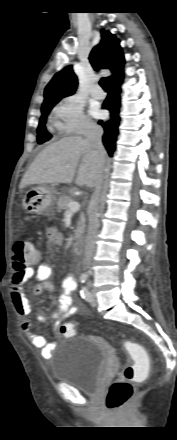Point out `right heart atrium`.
I'll list each match as a JSON object with an SVG mask.
<instances>
[{
    "instance_id": "1",
    "label": "right heart atrium",
    "mask_w": 177,
    "mask_h": 440,
    "mask_svg": "<svg viewBox=\"0 0 177 440\" xmlns=\"http://www.w3.org/2000/svg\"><path fill=\"white\" fill-rule=\"evenodd\" d=\"M53 126L60 134L73 135L90 132L92 122L84 113L83 103L75 96L62 98L52 110Z\"/></svg>"
}]
</instances>
